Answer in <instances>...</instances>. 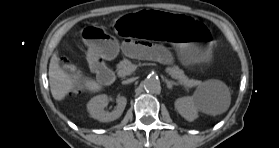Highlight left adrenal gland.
I'll list each match as a JSON object with an SVG mask.
<instances>
[{"instance_id":"a2214340","label":"left adrenal gland","mask_w":279,"mask_h":148,"mask_svg":"<svg viewBox=\"0 0 279 148\" xmlns=\"http://www.w3.org/2000/svg\"><path fill=\"white\" fill-rule=\"evenodd\" d=\"M165 82L167 84V87L169 90H172L173 89V86H178L179 84L174 82V81H171V80H168V79H165Z\"/></svg>"}]
</instances>
